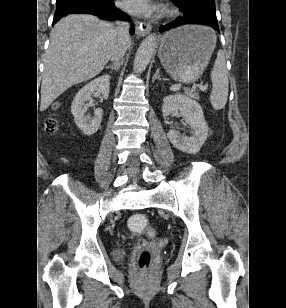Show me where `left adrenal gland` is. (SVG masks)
Returning <instances> with one entry per match:
<instances>
[{
    "label": "left adrenal gland",
    "instance_id": "1",
    "mask_svg": "<svg viewBox=\"0 0 286 308\" xmlns=\"http://www.w3.org/2000/svg\"><path fill=\"white\" fill-rule=\"evenodd\" d=\"M159 71H160V69L158 68L157 70H156V72H155V74H154V76H153V78H152V83H154V81L157 79V80H161V77H160V75H159Z\"/></svg>",
    "mask_w": 286,
    "mask_h": 308
}]
</instances>
